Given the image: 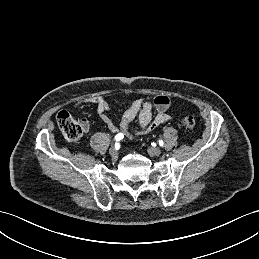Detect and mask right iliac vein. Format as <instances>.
I'll list each match as a JSON object with an SVG mask.
<instances>
[{
  "label": "right iliac vein",
  "mask_w": 259,
  "mask_h": 259,
  "mask_svg": "<svg viewBox=\"0 0 259 259\" xmlns=\"http://www.w3.org/2000/svg\"><path fill=\"white\" fill-rule=\"evenodd\" d=\"M109 154L111 155L113 160H117V158H118V151H117L116 148L111 147L110 150H109Z\"/></svg>",
  "instance_id": "1"
}]
</instances>
